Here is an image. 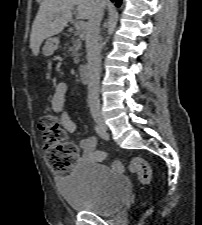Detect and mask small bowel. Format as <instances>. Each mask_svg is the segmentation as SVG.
<instances>
[{
  "label": "small bowel",
  "mask_w": 202,
  "mask_h": 225,
  "mask_svg": "<svg viewBox=\"0 0 202 225\" xmlns=\"http://www.w3.org/2000/svg\"><path fill=\"white\" fill-rule=\"evenodd\" d=\"M68 85L64 81H59L55 86V92L50 100V106L59 117V124L68 133H74L77 129L76 123L63 111ZM96 138L93 136L84 137L80 141L82 149V159L92 162L102 163L106 159V153L96 148Z\"/></svg>",
  "instance_id": "obj_1"
}]
</instances>
